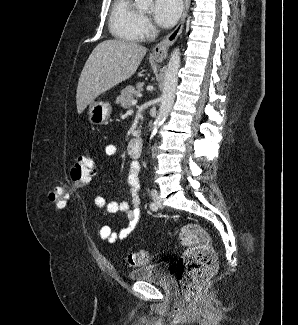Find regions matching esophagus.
<instances>
[{"label":"esophagus","mask_w":298,"mask_h":325,"mask_svg":"<svg viewBox=\"0 0 298 325\" xmlns=\"http://www.w3.org/2000/svg\"><path fill=\"white\" fill-rule=\"evenodd\" d=\"M188 9H189V0H184V10L177 27L171 33L166 35V37H164L163 40H161V42L157 43V45L153 47L151 52V56L153 58L167 57L168 49L171 47V45H173V43L176 41V39L178 38V36L180 35L183 29L187 17Z\"/></svg>","instance_id":"1"}]
</instances>
